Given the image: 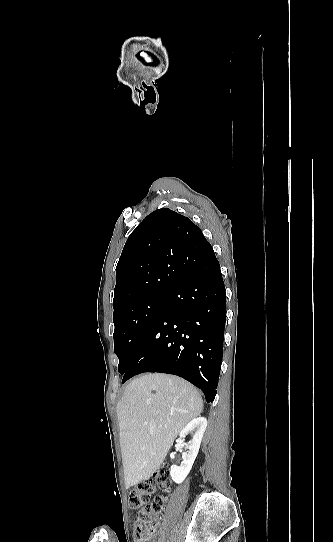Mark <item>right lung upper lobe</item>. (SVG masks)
I'll return each instance as SVG.
<instances>
[{
    "label": "right lung upper lobe",
    "mask_w": 333,
    "mask_h": 542,
    "mask_svg": "<svg viewBox=\"0 0 333 542\" xmlns=\"http://www.w3.org/2000/svg\"><path fill=\"white\" fill-rule=\"evenodd\" d=\"M209 244L189 218L168 208L149 214L128 237L117 264L114 315L169 292L184 279L183 271L163 258L165 251H195Z\"/></svg>",
    "instance_id": "obj_1"
}]
</instances>
